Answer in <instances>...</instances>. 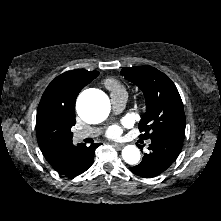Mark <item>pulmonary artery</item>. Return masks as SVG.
<instances>
[{"label":"pulmonary artery","instance_id":"obj_1","mask_svg":"<svg viewBox=\"0 0 221 221\" xmlns=\"http://www.w3.org/2000/svg\"><path fill=\"white\" fill-rule=\"evenodd\" d=\"M127 100V94L126 92L118 91L113 92L111 94V104L113 106V110L115 112H121L124 108ZM102 132L101 127H89L82 130H78L74 132V138L76 140H82L85 138H93L100 135Z\"/></svg>","mask_w":221,"mask_h":221}]
</instances>
